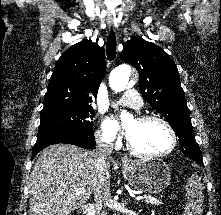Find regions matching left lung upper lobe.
Returning a JSON list of instances; mask_svg holds the SVG:
<instances>
[{
	"label": "left lung upper lobe",
	"mask_w": 221,
	"mask_h": 215,
	"mask_svg": "<svg viewBox=\"0 0 221 215\" xmlns=\"http://www.w3.org/2000/svg\"><path fill=\"white\" fill-rule=\"evenodd\" d=\"M121 58L138 70L144 99L171 124L179 137L181 151L190 158L202 157L179 72L170 56L157 45L133 36L124 43Z\"/></svg>",
	"instance_id": "left-lung-upper-lobe-1"
}]
</instances>
